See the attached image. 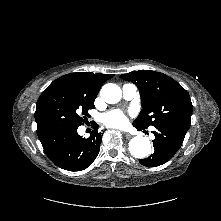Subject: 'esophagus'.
Here are the masks:
<instances>
[{"instance_id": "1", "label": "esophagus", "mask_w": 221, "mask_h": 221, "mask_svg": "<svg viewBox=\"0 0 221 221\" xmlns=\"http://www.w3.org/2000/svg\"><path fill=\"white\" fill-rule=\"evenodd\" d=\"M124 135L127 137V138H130L131 137V134L130 133H127V132H123Z\"/></svg>"}]
</instances>
